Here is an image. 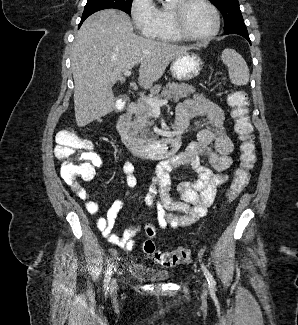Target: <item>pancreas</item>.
I'll use <instances>...</instances> for the list:
<instances>
[{
    "mask_svg": "<svg viewBox=\"0 0 298 325\" xmlns=\"http://www.w3.org/2000/svg\"><path fill=\"white\" fill-rule=\"evenodd\" d=\"M151 94H154V98L158 100H164V98H171L173 102H179L180 98L183 96H190L193 92H196L195 86L192 84H187V82H167L166 86L162 84H157L154 88L150 90ZM136 112L131 126L140 140H148V138H157V134L150 130V126L154 124L153 112L151 106L145 102V100H137L136 102Z\"/></svg>",
    "mask_w": 298,
    "mask_h": 325,
    "instance_id": "1",
    "label": "pancreas"
}]
</instances>
